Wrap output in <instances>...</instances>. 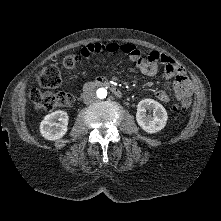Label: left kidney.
I'll list each match as a JSON object with an SVG mask.
<instances>
[{"mask_svg": "<svg viewBox=\"0 0 221 221\" xmlns=\"http://www.w3.org/2000/svg\"><path fill=\"white\" fill-rule=\"evenodd\" d=\"M147 109H152L153 115H146ZM167 119L165 108L157 101L143 99L138 103L136 120L145 132L153 134L161 131L165 127Z\"/></svg>", "mask_w": 221, "mask_h": 221, "instance_id": "obj_1", "label": "left kidney"}]
</instances>
